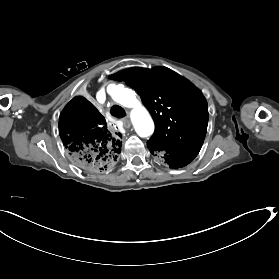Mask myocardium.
<instances>
[{
	"mask_svg": "<svg viewBox=\"0 0 279 279\" xmlns=\"http://www.w3.org/2000/svg\"><path fill=\"white\" fill-rule=\"evenodd\" d=\"M86 75H88V74H86ZM91 75L95 76V73H92ZM143 104H144L143 100L138 95H135V97L131 101V105H143Z\"/></svg>",
	"mask_w": 279,
	"mask_h": 279,
	"instance_id": "obj_1",
	"label": "myocardium"
}]
</instances>
